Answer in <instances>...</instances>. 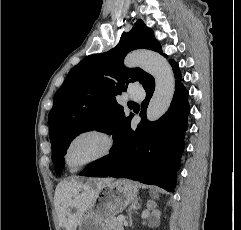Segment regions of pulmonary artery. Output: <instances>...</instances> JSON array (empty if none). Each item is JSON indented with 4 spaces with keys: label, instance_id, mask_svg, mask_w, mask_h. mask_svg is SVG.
I'll use <instances>...</instances> for the list:
<instances>
[{
    "label": "pulmonary artery",
    "instance_id": "pulmonary-artery-1",
    "mask_svg": "<svg viewBox=\"0 0 241 230\" xmlns=\"http://www.w3.org/2000/svg\"><path fill=\"white\" fill-rule=\"evenodd\" d=\"M144 96L143 89L138 85H133L128 90V99L132 101L141 100Z\"/></svg>",
    "mask_w": 241,
    "mask_h": 230
}]
</instances>
